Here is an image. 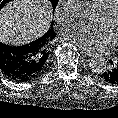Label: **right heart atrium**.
<instances>
[{
	"instance_id": "obj_1",
	"label": "right heart atrium",
	"mask_w": 118,
	"mask_h": 118,
	"mask_svg": "<svg viewBox=\"0 0 118 118\" xmlns=\"http://www.w3.org/2000/svg\"><path fill=\"white\" fill-rule=\"evenodd\" d=\"M74 1L75 0H61V6L55 12V19L59 23H65L72 19L73 15L70 6Z\"/></svg>"
}]
</instances>
